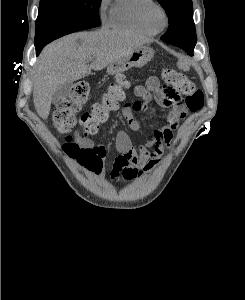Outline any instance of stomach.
I'll return each mask as SVG.
<instances>
[{
	"label": "stomach",
	"instance_id": "stomach-1",
	"mask_svg": "<svg viewBox=\"0 0 245 300\" xmlns=\"http://www.w3.org/2000/svg\"><path fill=\"white\" fill-rule=\"evenodd\" d=\"M153 55L154 51L151 48H137L125 57L111 63L107 68V72L109 75H117L124 73L132 67L141 68L152 59Z\"/></svg>",
	"mask_w": 245,
	"mask_h": 300
}]
</instances>
